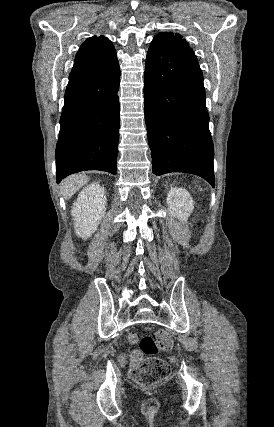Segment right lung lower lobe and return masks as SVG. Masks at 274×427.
Instances as JSON below:
<instances>
[{"label":"right lung lower lobe","mask_w":274,"mask_h":427,"mask_svg":"<svg viewBox=\"0 0 274 427\" xmlns=\"http://www.w3.org/2000/svg\"><path fill=\"white\" fill-rule=\"evenodd\" d=\"M120 83L118 61L98 73L69 79L56 146V179L84 170L116 174Z\"/></svg>","instance_id":"1"}]
</instances>
